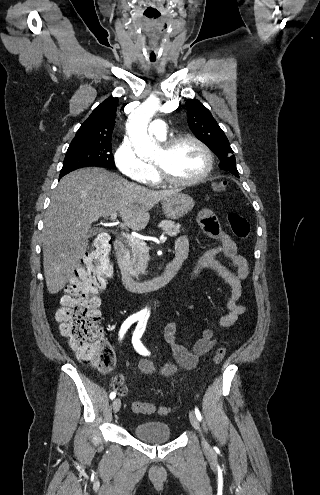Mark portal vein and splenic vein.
<instances>
[{
    "label": "portal vein and splenic vein",
    "mask_w": 320,
    "mask_h": 495,
    "mask_svg": "<svg viewBox=\"0 0 320 495\" xmlns=\"http://www.w3.org/2000/svg\"><path fill=\"white\" fill-rule=\"evenodd\" d=\"M117 218V213H113L110 216V220L112 221V225H115V220ZM123 237L126 239L128 244H134V245H141V246H146V243L144 241H141L140 239H137L133 237L132 235L122 232ZM167 237H163L161 239V242H165Z\"/></svg>",
    "instance_id": "18ae733b"
}]
</instances>
